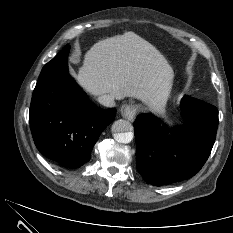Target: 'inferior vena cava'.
Masks as SVG:
<instances>
[{
	"instance_id": "1",
	"label": "inferior vena cava",
	"mask_w": 233,
	"mask_h": 233,
	"mask_svg": "<svg viewBox=\"0 0 233 233\" xmlns=\"http://www.w3.org/2000/svg\"><path fill=\"white\" fill-rule=\"evenodd\" d=\"M114 96L110 94L101 95L98 97V101L100 104L106 106V107H114L115 106V100Z\"/></svg>"
}]
</instances>
